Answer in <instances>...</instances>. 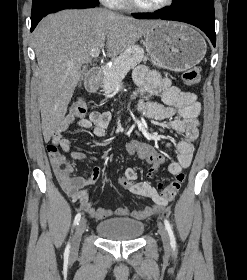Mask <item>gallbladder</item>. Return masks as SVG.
I'll use <instances>...</instances> for the list:
<instances>
[{
	"label": "gallbladder",
	"mask_w": 247,
	"mask_h": 280,
	"mask_svg": "<svg viewBox=\"0 0 247 280\" xmlns=\"http://www.w3.org/2000/svg\"><path fill=\"white\" fill-rule=\"evenodd\" d=\"M86 73V70H83L82 71V78H81V80H83V77H84V74Z\"/></svg>",
	"instance_id": "obj_1"
}]
</instances>
